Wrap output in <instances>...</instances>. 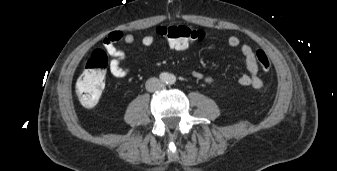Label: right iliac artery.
Here are the masks:
<instances>
[{
  "mask_svg": "<svg viewBox=\"0 0 337 171\" xmlns=\"http://www.w3.org/2000/svg\"><path fill=\"white\" fill-rule=\"evenodd\" d=\"M160 79L163 81V82H167L168 79H169V75L167 73H161L160 74Z\"/></svg>",
  "mask_w": 337,
  "mask_h": 171,
  "instance_id": "right-iliac-artery-1",
  "label": "right iliac artery"
}]
</instances>
